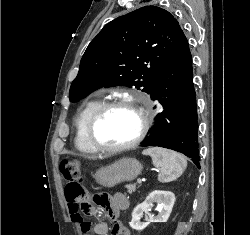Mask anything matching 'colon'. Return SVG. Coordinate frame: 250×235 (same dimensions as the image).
<instances>
[{
  "instance_id": "1",
  "label": "colon",
  "mask_w": 250,
  "mask_h": 235,
  "mask_svg": "<svg viewBox=\"0 0 250 235\" xmlns=\"http://www.w3.org/2000/svg\"><path fill=\"white\" fill-rule=\"evenodd\" d=\"M60 171L66 181V197L71 202L78 203L81 210H88L91 205L85 203L87 195L82 182L81 162L77 159H63L60 162ZM93 201L98 204L103 201V196L96 194Z\"/></svg>"
}]
</instances>
